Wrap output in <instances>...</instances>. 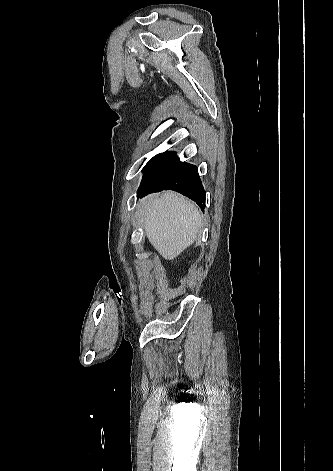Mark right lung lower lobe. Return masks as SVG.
<instances>
[{
  "mask_svg": "<svg viewBox=\"0 0 333 471\" xmlns=\"http://www.w3.org/2000/svg\"><path fill=\"white\" fill-rule=\"evenodd\" d=\"M162 190L177 191L204 211L206 193L195 165L181 162L175 152L154 156L143 168V179L137 196L143 197Z\"/></svg>",
  "mask_w": 333,
  "mask_h": 471,
  "instance_id": "98d812e1",
  "label": "right lung lower lobe"
}]
</instances>
